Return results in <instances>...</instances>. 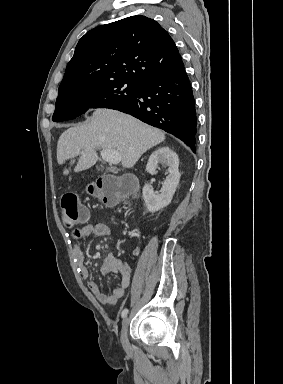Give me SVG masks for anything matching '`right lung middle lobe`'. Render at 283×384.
<instances>
[{
  "label": "right lung middle lobe",
  "instance_id": "right-lung-middle-lobe-1",
  "mask_svg": "<svg viewBox=\"0 0 283 384\" xmlns=\"http://www.w3.org/2000/svg\"><path fill=\"white\" fill-rule=\"evenodd\" d=\"M139 89V83L122 79L59 87L52 120L75 119L89 108H110L134 99Z\"/></svg>",
  "mask_w": 283,
  "mask_h": 384
}]
</instances>
